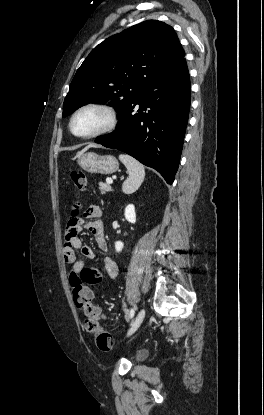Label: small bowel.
Listing matches in <instances>:
<instances>
[{
    "instance_id": "1",
    "label": "small bowel",
    "mask_w": 264,
    "mask_h": 415,
    "mask_svg": "<svg viewBox=\"0 0 264 415\" xmlns=\"http://www.w3.org/2000/svg\"><path fill=\"white\" fill-rule=\"evenodd\" d=\"M101 208L98 205H91L84 212L81 218L78 219L75 227L78 231L83 228H87L93 235L97 247L105 252L107 250V241L104 234L103 223L100 219L86 222V218H98L101 216ZM65 245L62 250L64 261L71 265V272L80 274L85 267V259H93L95 253L89 246L83 245L82 241L75 235L66 234ZM76 251H80L85 259H77ZM103 265L105 271L110 279H115L118 275V265L116 261L111 257L103 258ZM87 290L92 294L91 289L87 287Z\"/></svg>"
}]
</instances>
